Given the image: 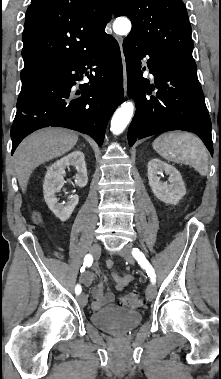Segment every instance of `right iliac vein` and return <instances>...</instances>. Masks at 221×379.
Wrapping results in <instances>:
<instances>
[{
    "label": "right iliac vein",
    "mask_w": 221,
    "mask_h": 379,
    "mask_svg": "<svg viewBox=\"0 0 221 379\" xmlns=\"http://www.w3.org/2000/svg\"><path fill=\"white\" fill-rule=\"evenodd\" d=\"M90 253L94 256V257H98L101 253V246L99 244H93L90 248ZM78 302L80 305H86L87 304V297L84 295V294H81L78 296Z\"/></svg>",
    "instance_id": "obj_1"
}]
</instances>
